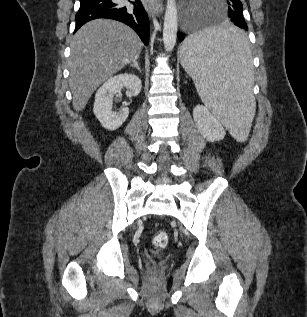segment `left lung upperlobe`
<instances>
[{"label": "left lung upper lobe", "instance_id": "obj_1", "mask_svg": "<svg viewBox=\"0 0 307 317\" xmlns=\"http://www.w3.org/2000/svg\"><path fill=\"white\" fill-rule=\"evenodd\" d=\"M226 1L228 4V16L230 18L237 17L243 22H245L243 18V13H242L243 6L240 0H226Z\"/></svg>", "mask_w": 307, "mask_h": 317}]
</instances>
